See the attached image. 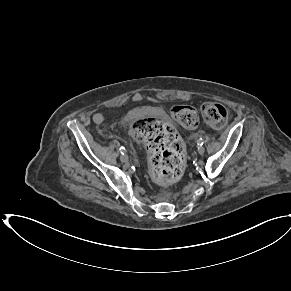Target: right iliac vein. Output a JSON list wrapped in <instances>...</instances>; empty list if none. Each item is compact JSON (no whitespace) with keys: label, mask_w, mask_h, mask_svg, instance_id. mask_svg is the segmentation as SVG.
Segmentation results:
<instances>
[{"label":"right iliac vein","mask_w":291,"mask_h":291,"mask_svg":"<svg viewBox=\"0 0 291 291\" xmlns=\"http://www.w3.org/2000/svg\"><path fill=\"white\" fill-rule=\"evenodd\" d=\"M120 160H121L123 163H128L129 158H128V156H127L126 154H123V155H121Z\"/></svg>","instance_id":"1"}]
</instances>
